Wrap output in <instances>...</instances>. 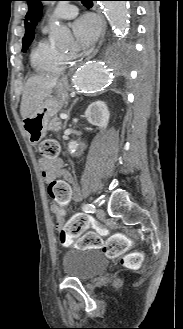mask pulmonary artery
I'll return each mask as SVG.
<instances>
[{"instance_id": "1", "label": "pulmonary artery", "mask_w": 183, "mask_h": 329, "mask_svg": "<svg viewBox=\"0 0 183 329\" xmlns=\"http://www.w3.org/2000/svg\"><path fill=\"white\" fill-rule=\"evenodd\" d=\"M78 14V8L68 2L59 3L54 11L52 12L49 21L62 20V19H72ZM47 26L44 27V30Z\"/></svg>"}]
</instances>
